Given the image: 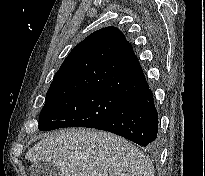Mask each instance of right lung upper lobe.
I'll list each match as a JSON object with an SVG mask.
<instances>
[{"label": "right lung upper lobe", "mask_w": 205, "mask_h": 176, "mask_svg": "<svg viewBox=\"0 0 205 176\" xmlns=\"http://www.w3.org/2000/svg\"><path fill=\"white\" fill-rule=\"evenodd\" d=\"M147 87L132 45L118 28L106 27L72 49L46 96L99 90L128 98Z\"/></svg>", "instance_id": "1"}]
</instances>
